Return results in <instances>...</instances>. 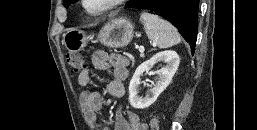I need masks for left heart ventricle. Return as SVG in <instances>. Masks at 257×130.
Instances as JSON below:
<instances>
[{
    "label": "left heart ventricle",
    "mask_w": 257,
    "mask_h": 130,
    "mask_svg": "<svg viewBox=\"0 0 257 130\" xmlns=\"http://www.w3.org/2000/svg\"><path fill=\"white\" fill-rule=\"evenodd\" d=\"M111 0H86V6L90 11H98L106 6Z\"/></svg>",
    "instance_id": "1"
}]
</instances>
